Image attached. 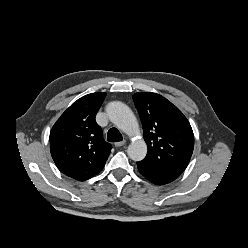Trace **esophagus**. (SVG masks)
<instances>
[{
    "mask_svg": "<svg viewBox=\"0 0 248 248\" xmlns=\"http://www.w3.org/2000/svg\"><path fill=\"white\" fill-rule=\"evenodd\" d=\"M126 141L123 140V141H120V142H116L115 143V147H122L123 145H125Z\"/></svg>",
    "mask_w": 248,
    "mask_h": 248,
    "instance_id": "obj_1",
    "label": "esophagus"
}]
</instances>
